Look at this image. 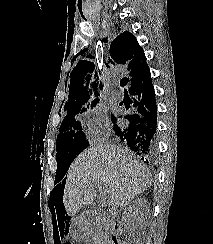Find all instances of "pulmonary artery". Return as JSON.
I'll list each match as a JSON object with an SVG mask.
<instances>
[{"label": "pulmonary artery", "instance_id": "1", "mask_svg": "<svg viewBox=\"0 0 213 244\" xmlns=\"http://www.w3.org/2000/svg\"><path fill=\"white\" fill-rule=\"evenodd\" d=\"M112 95L115 97V99H117V100H121L122 99V93H121V91H119V90H113L112 91Z\"/></svg>", "mask_w": 213, "mask_h": 244}]
</instances>
